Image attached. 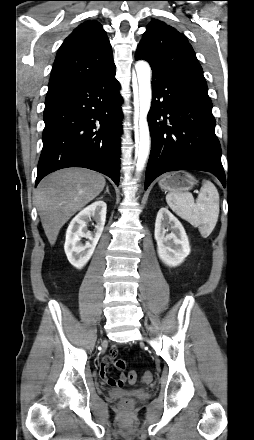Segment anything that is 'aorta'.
<instances>
[{
	"mask_svg": "<svg viewBox=\"0 0 254 440\" xmlns=\"http://www.w3.org/2000/svg\"><path fill=\"white\" fill-rule=\"evenodd\" d=\"M138 79V97L135 99V142L137 157V172L140 173L146 164L150 152V133L147 115L151 105V69L146 61H138L135 65Z\"/></svg>",
	"mask_w": 254,
	"mask_h": 440,
	"instance_id": "762f6f07",
	"label": "aorta"
}]
</instances>
